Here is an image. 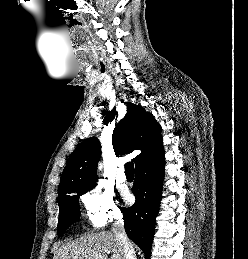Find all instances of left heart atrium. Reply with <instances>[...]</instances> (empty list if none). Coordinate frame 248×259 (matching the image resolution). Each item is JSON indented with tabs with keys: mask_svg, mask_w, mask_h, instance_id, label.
Listing matches in <instances>:
<instances>
[{
	"mask_svg": "<svg viewBox=\"0 0 248 259\" xmlns=\"http://www.w3.org/2000/svg\"><path fill=\"white\" fill-rule=\"evenodd\" d=\"M124 197L127 201H130L131 200V195L128 193V192H125L124 193Z\"/></svg>",
	"mask_w": 248,
	"mask_h": 259,
	"instance_id": "39dd6f15",
	"label": "left heart atrium"
}]
</instances>
